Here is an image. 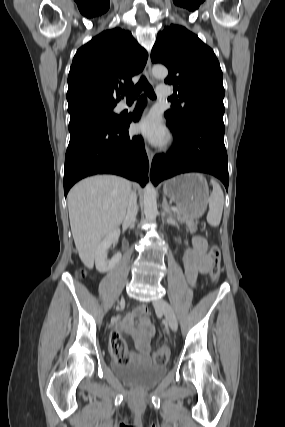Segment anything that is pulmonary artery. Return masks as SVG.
<instances>
[{
    "mask_svg": "<svg viewBox=\"0 0 285 427\" xmlns=\"http://www.w3.org/2000/svg\"><path fill=\"white\" fill-rule=\"evenodd\" d=\"M171 94H172V88L170 85H160L157 88V95L161 98L169 97ZM135 107H136V103L127 104L123 102L118 105V109L120 111L133 110Z\"/></svg>",
    "mask_w": 285,
    "mask_h": 427,
    "instance_id": "pulmonary-artery-1",
    "label": "pulmonary artery"
}]
</instances>
